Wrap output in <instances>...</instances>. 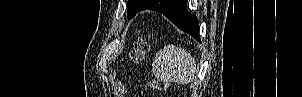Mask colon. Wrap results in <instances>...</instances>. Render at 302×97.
<instances>
[{"label": "colon", "mask_w": 302, "mask_h": 97, "mask_svg": "<svg viewBox=\"0 0 302 97\" xmlns=\"http://www.w3.org/2000/svg\"><path fill=\"white\" fill-rule=\"evenodd\" d=\"M147 50H148L147 42L142 38H138L133 43L132 49L128 54V59L131 62L138 63L144 58ZM148 87L154 90H163L166 88V84L162 81L152 80L149 82Z\"/></svg>", "instance_id": "colon-1"}]
</instances>
